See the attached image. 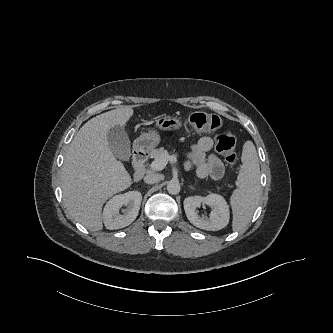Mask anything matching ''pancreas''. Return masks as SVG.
I'll use <instances>...</instances> for the list:
<instances>
[{
  "label": "pancreas",
  "mask_w": 333,
  "mask_h": 333,
  "mask_svg": "<svg viewBox=\"0 0 333 333\" xmlns=\"http://www.w3.org/2000/svg\"><path fill=\"white\" fill-rule=\"evenodd\" d=\"M166 154H168V151L165 150L163 147L158 148V149H153L150 152L151 158H154V159H157V158H159L163 155H166Z\"/></svg>",
  "instance_id": "obj_1"
}]
</instances>
